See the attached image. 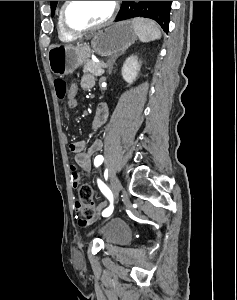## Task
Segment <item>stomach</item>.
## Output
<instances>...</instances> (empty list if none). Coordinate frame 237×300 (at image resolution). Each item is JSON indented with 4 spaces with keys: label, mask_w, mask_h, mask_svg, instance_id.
Returning a JSON list of instances; mask_svg holds the SVG:
<instances>
[{
    "label": "stomach",
    "mask_w": 237,
    "mask_h": 300,
    "mask_svg": "<svg viewBox=\"0 0 237 300\" xmlns=\"http://www.w3.org/2000/svg\"><path fill=\"white\" fill-rule=\"evenodd\" d=\"M137 35L130 21L113 23L102 27L91 35V45H52L47 53L50 71L58 77L71 75L92 53L96 55H114L127 49L136 41Z\"/></svg>",
    "instance_id": "obj_1"
}]
</instances>
